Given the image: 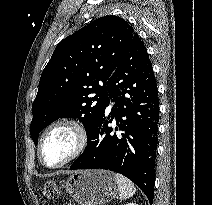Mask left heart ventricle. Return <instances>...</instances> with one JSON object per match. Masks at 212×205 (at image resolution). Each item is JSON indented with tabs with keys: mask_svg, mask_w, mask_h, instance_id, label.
<instances>
[{
	"mask_svg": "<svg viewBox=\"0 0 212 205\" xmlns=\"http://www.w3.org/2000/svg\"><path fill=\"white\" fill-rule=\"evenodd\" d=\"M74 136L68 129L54 130L43 146V157L48 164H56L65 159L73 150Z\"/></svg>",
	"mask_w": 212,
	"mask_h": 205,
	"instance_id": "obj_1",
	"label": "left heart ventricle"
}]
</instances>
